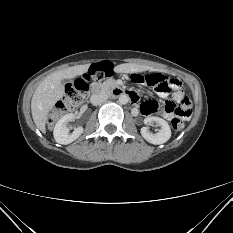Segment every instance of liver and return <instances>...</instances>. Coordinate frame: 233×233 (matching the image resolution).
Returning a JSON list of instances; mask_svg holds the SVG:
<instances>
[{
    "mask_svg": "<svg viewBox=\"0 0 233 233\" xmlns=\"http://www.w3.org/2000/svg\"><path fill=\"white\" fill-rule=\"evenodd\" d=\"M89 64L77 65L64 70L54 72L45 77L36 88L31 100V112L35 125L45 132V123L47 115L54 107L56 102L65 94V88L62 84L63 79H73L86 73ZM144 65L125 63L114 67L116 73H137L150 70Z\"/></svg>",
    "mask_w": 233,
    "mask_h": 233,
    "instance_id": "1",
    "label": "liver"
}]
</instances>
